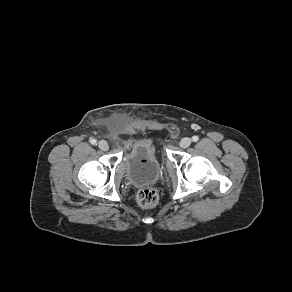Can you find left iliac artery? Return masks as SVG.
Wrapping results in <instances>:
<instances>
[{"label":"left iliac artery","mask_w":292,"mask_h":292,"mask_svg":"<svg viewBox=\"0 0 292 292\" xmlns=\"http://www.w3.org/2000/svg\"><path fill=\"white\" fill-rule=\"evenodd\" d=\"M192 140H193V142H197L199 140V137L195 135L192 137Z\"/></svg>","instance_id":"obj_1"}]
</instances>
